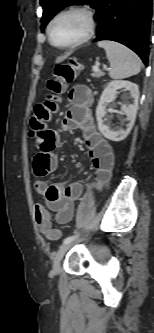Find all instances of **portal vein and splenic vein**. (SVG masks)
I'll use <instances>...</instances> for the list:
<instances>
[{
	"mask_svg": "<svg viewBox=\"0 0 154 333\" xmlns=\"http://www.w3.org/2000/svg\"><path fill=\"white\" fill-rule=\"evenodd\" d=\"M104 68H105V69H107V67H106V66H104ZM95 69H98V67L96 66V67H95Z\"/></svg>",
	"mask_w": 154,
	"mask_h": 333,
	"instance_id": "18ae733b",
	"label": "portal vein and splenic vein"
}]
</instances>
